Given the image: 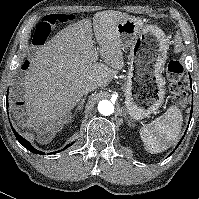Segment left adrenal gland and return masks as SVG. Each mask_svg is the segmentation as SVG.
I'll return each mask as SVG.
<instances>
[{
	"mask_svg": "<svg viewBox=\"0 0 199 199\" xmlns=\"http://www.w3.org/2000/svg\"><path fill=\"white\" fill-rule=\"evenodd\" d=\"M124 116H125V118H126V120H127L128 125L134 127V124L132 123L131 120L128 119L126 113L124 114Z\"/></svg>",
	"mask_w": 199,
	"mask_h": 199,
	"instance_id": "a2214340",
	"label": "left adrenal gland"
}]
</instances>
